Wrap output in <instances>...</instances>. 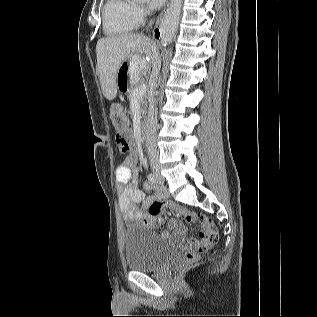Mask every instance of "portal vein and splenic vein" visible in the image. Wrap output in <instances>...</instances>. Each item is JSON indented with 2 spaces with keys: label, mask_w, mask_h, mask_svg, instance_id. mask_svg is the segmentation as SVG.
I'll return each instance as SVG.
<instances>
[{
  "label": "portal vein and splenic vein",
  "mask_w": 317,
  "mask_h": 317,
  "mask_svg": "<svg viewBox=\"0 0 317 317\" xmlns=\"http://www.w3.org/2000/svg\"><path fill=\"white\" fill-rule=\"evenodd\" d=\"M146 88H147L146 84H142L138 86L137 88L134 89L133 96L142 97L146 93Z\"/></svg>",
  "instance_id": "1"
}]
</instances>
